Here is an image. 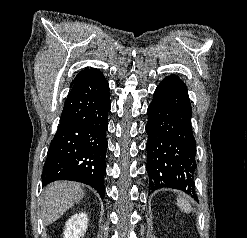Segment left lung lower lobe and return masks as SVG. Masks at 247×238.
Listing matches in <instances>:
<instances>
[{
  "mask_svg": "<svg viewBox=\"0 0 247 238\" xmlns=\"http://www.w3.org/2000/svg\"><path fill=\"white\" fill-rule=\"evenodd\" d=\"M147 114L149 189L176 188L195 197L196 142L185 83L176 75L165 77L154 92Z\"/></svg>",
  "mask_w": 247,
  "mask_h": 238,
  "instance_id": "left-lung-lower-lobe-1",
  "label": "left lung lower lobe"
}]
</instances>
